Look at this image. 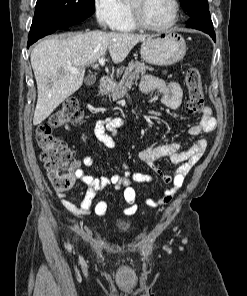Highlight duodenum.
I'll use <instances>...</instances> for the list:
<instances>
[{
    "label": "duodenum",
    "instance_id": "410a0bca",
    "mask_svg": "<svg viewBox=\"0 0 247 296\" xmlns=\"http://www.w3.org/2000/svg\"><path fill=\"white\" fill-rule=\"evenodd\" d=\"M112 88V82L110 80L107 79H103L102 80V89L104 91H109Z\"/></svg>",
    "mask_w": 247,
    "mask_h": 296
}]
</instances>
